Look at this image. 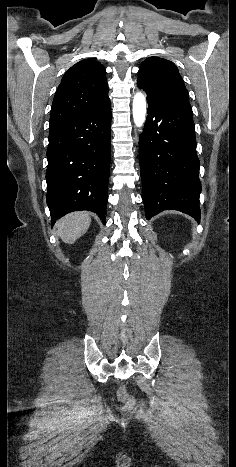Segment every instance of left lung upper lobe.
Returning <instances> with one entry per match:
<instances>
[{"label":"left lung upper lobe","mask_w":236,"mask_h":467,"mask_svg":"<svg viewBox=\"0 0 236 467\" xmlns=\"http://www.w3.org/2000/svg\"><path fill=\"white\" fill-rule=\"evenodd\" d=\"M137 84L147 101L162 105L190 106L189 94L176 65L164 58L149 57L140 65Z\"/></svg>","instance_id":"1"}]
</instances>
